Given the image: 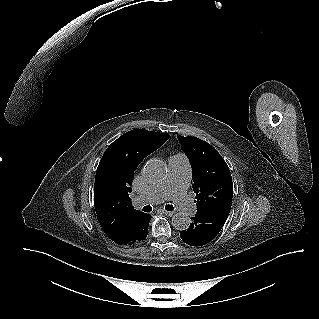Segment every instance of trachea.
<instances>
[{"instance_id": "3493384b", "label": "trachea", "mask_w": 319, "mask_h": 319, "mask_svg": "<svg viewBox=\"0 0 319 319\" xmlns=\"http://www.w3.org/2000/svg\"><path fill=\"white\" fill-rule=\"evenodd\" d=\"M165 209L167 210V211H172L173 209H174V207H173V205H166L165 206ZM143 211L144 212H150V211H152V207L151 206H149V205H147V206H144L143 207Z\"/></svg>"}]
</instances>
